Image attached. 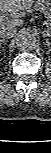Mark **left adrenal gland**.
I'll list each match as a JSON object with an SVG mask.
<instances>
[{
	"label": "left adrenal gland",
	"mask_w": 51,
	"mask_h": 153,
	"mask_svg": "<svg viewBox=\"0 0 51 153\" xmlns=\"http://www.w3.org/2000/svg\"><path fill=\"white\" fill-rule=\"evenodd\" d=\"M47 44L49 45L48 39H46Z\"/></svg>",
	"instance_id": "a2214340"
}]
</instances>
